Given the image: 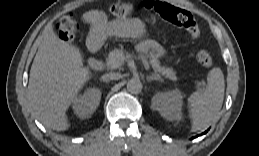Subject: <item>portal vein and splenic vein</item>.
Segmentation results:
<instances>
[{
	"instance_id": "18ae733b",
	"label": "portal vein and splenic vein",
	"mask_w": 259,
	"mask_h": 156,
	"mask_svg": "<svg viewBox=\"0 0 259 156\" xmlns=\"http://www.w3.org/2000/svg\"><path fill=\"white\" fill-rule=\"evenodd\" d=\"M145 67L146 70L149 69V64H148V61L145 57H139ZM198 85H201V86H205V83H198Z\"/></svg>"
}]
</instances>
